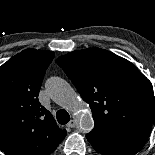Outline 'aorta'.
I'll return each instance as SVG.
<instances>
[{
  "mask_svg": "<svg viewBox=\"0 0 155 155\" xmlns=\"http://www.w3.org/2000/svg\"><path fill=\"white\" fill-rule=\"evenodd\" d=\"M46 88L57 104L75 115L82 132L88 133L93 129L94 120L88 104L79 99L67 81L60 77H51L46 82Z\"/></svg>",
  "mask_w": 155,
  "mask_h": 155,
  "instance_id": "obj_1",
  "label": "aorta"
}]
</instances>
